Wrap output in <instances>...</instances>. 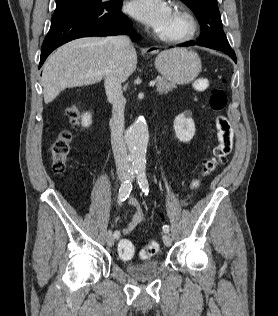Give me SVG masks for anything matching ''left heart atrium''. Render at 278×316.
I'll return each instance as SVG.
<instances>
[{
	"label": "left heart atrium",
	"mask_w": 278,
	"mask_h": 316,
	"mask_svg": "<svg viewBox=\"0 0 278 316\" xmlns=\"http://www.w3.org/2000/svg\"><path fill=\"white\" fill-rule=\"evenodd\" d=\"M128 13L143 24L158 31L170 15L171 8L164 0H131Z\"/></svg>",
	"instance_id": "obj_1"
}]
</instances>
